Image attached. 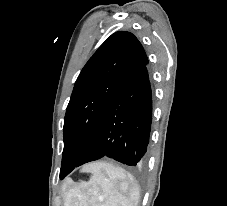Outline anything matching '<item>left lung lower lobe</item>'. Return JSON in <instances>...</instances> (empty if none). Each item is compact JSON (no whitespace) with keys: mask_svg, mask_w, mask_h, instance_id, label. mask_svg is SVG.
<instances>
[{"mask_svg":"<svg viewBox=\"0 0 227 206\" xmlns=\"http://www.w3.org/2000/svg\"><path fill=\"white\" fill-rule=\"evenodd\" d=\"M151 122L152 93L145 65L117 92L88 151L74 167L61 171L60 179L75 167L103 157L136 165L147 153Z\"/></svg>","mask_w":227,"mask_h":206,"instance_id":"1","label":"left lung lower lobe"}]
</instances>
